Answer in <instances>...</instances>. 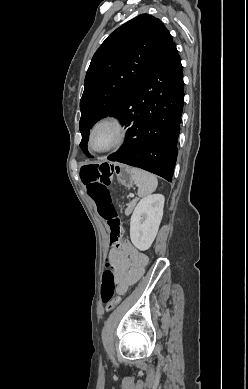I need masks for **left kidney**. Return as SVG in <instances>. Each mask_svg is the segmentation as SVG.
Masks as SVG:
<instances>
[{
	"label": "left kidney",
	"mask_w": 248,
	"mask_h": 389,
	"mask_svg": "<svg viewBox=\"0 0 248 389\" xmlns=\"http://www.w3.org/2000/svg\"><path fill=\"white\" fill-rule=\"evenodd\" d=\"M165 198L161 194L149 195L139 201L130 221V238L141 251L148 250L159 229Z\"/></svg>",
	"instance_id": "1"
}]
</instances>
